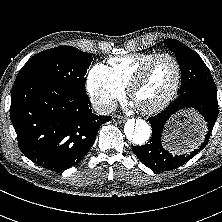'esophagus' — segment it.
I'll use <instances>...</instances> for the list:
<instances>
[{"label": "esophagus", "instance_id": "obj_1", "mask_svg": "<svg viewBox=\"0 0 222 222\" xmlns=\"http://www.w3.org/2000/svg\"><path fill=\"white\" fill-rule=\"evenodd\" d=\"M124 120H125V118H123L122 116H119V115L113 116V121L114 122L122 123V122H124Z\"/></svg>", "mask_w": 222, "mask_h": 222}]
</instances>
